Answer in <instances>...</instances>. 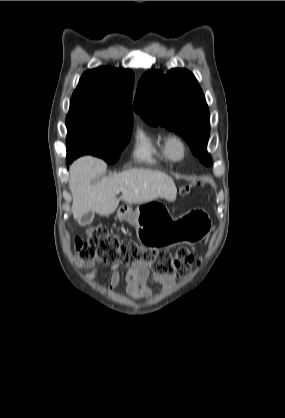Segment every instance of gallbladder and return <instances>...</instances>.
Listing matches in <instances>:
<instances>
[{
    "label": "gallbladder",
    "mask_w": 285,
    "mask_h": 418,
    "mask_svg": "<svg viewBox=\"0 0 285 418\" xmlns=\"http://www.w3.org/2000/svg\"><path fill=\"white\" fill-rule=\"evenodd\" d=\"M93 219H94V212L93 211H88V212H86L85 214L82 215L79 223L82 226H86V225L90 224Z\"/></svg>",
    "instance_id": "obj_1"
}]
</instances>
